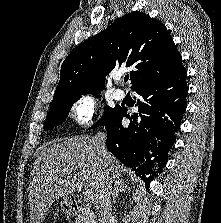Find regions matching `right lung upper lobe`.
<instances>
[{
  "label": "right lung upper lobe",
  "instance_id": "1",
  "mask_svg": "<svg viewBox=\"0 0 221 223\" xmlns=\"http://www.w3.org/2000/svg\"><path fill=\"white\" fill-rule=\"evenodd\" d=\"M122 64L135 68L130 72L131 88L170 76L183 67L166 27L148 14L131 12L66 57L53 101L100 92L105 88V76Z\"/></svg>",
  "mask_w": 221,
  "mask_h": 223
}]
</instances>
